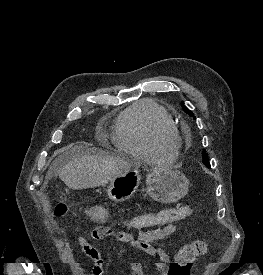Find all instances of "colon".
<instances>
[{
  "instance_id": "5ec220e1",
  "label": "colon",
  "mask_w": 263,
  "mask_h": 275,
  "mask_svg": "<svg viewBox=\"0 0 263 275\" xmlns=\"http://www.w3.org/2000/svg\"><path fill=\"white\" fill-rule=\"evenodd\" d=\"M67 211L64 204L57 205L55 213L62 216ZM192 213V207L189 204H179L175 207L166 208L157 212L145 213L134 216L125 221V225L130 229L142 230L155 226H162L169 223H175L189 217ZM85 219L100 223L110 220V210L103 205H96L82 211ZM123 235L119 234V238ZM207 246L203 241H194L184 245L173 257L170 264L171 275H187L192 269L194 262L206 253Z\"/></svg>"
}]
</instances>
